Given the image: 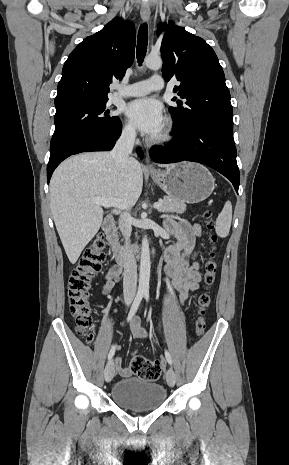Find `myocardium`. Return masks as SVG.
<instances>
[{"instance_id":"f54148a6","label":"myocardium","mask_w":289,"mask_h":465,"mask_svg":"<svg viewBox=\"0 0 289 465\" xmlns=\"http://www.w3.org/2000/svg\"><path fill=\"white\" fill-rule=\"evenodd\" d=\"M170 139H171V127L168 124L160 134H158L152 139V141L154 143H164V142L169 141Z\"/></svg>"}]
</instances>
